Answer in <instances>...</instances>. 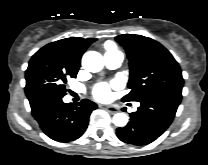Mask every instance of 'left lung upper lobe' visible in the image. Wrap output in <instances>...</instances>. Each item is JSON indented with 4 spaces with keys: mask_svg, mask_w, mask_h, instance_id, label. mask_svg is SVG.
Wrapping results in <instances>:
<instances>
[{
    "mask_svg": "<svg viewBox=\"0 0 208 165\" xmlns=\"http://www.w3.org/2000/svg\"><path fill=\"white\" fill-rule=\"evenodd\" d=\"M116 40L125 48L130 66L131 91L123 101L141 102L167 93L182 95L181 69L166 48L151 38L134 34L119 35Z\"/></svg>",
    "mask_w": 208,
    "mask_h": 165,
    "instance_id": "left-lung-upper-lobe-1",
    "label": "left lung upper lobe"
}]
</instances>
